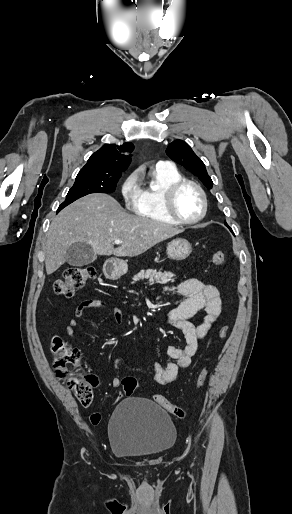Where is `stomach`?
I'll use <instances>...</instances> for the list:
<instances>
[{
    "instance_id": "0dacf381",
    "label": "stomach",
    "mask_w": 292,
    "mask_h": 514,
    "mask_svg": "<svg viewBox=\"0 0 292 514\" xmlns=\"http://www.w3.org/2000/svg\"><path fill=\"white\" fill-rule=\"evenodd\" d=\"M191 252V244L183 238H176L167 244L166 254L170 260H185ZM125 272H127V266L123 260H118V258L106 260L103 266V274L108 280H119Z\"/></svg>"
}]
</instances>
